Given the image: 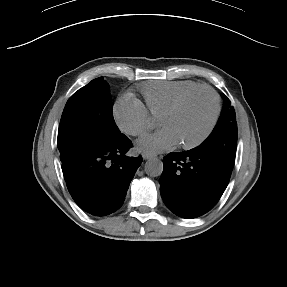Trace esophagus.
<instances>
[{"mask_svg": "<svg viewBox=\"0 0 287 287\" xmlns=\"http://www.w3.org/2000/svg\"><path fill=\"white\" fill-rule=\"evenodd\" d=\"M142 157H143L144 160H147V159H151V158H153V157H155V156L152 155V154L144 153V154L142 155Z\"/></svg>", "mask_w": 287, "mask_h": 287, "instance_id": "34e87169", "label": "esophagus"}]
</instances>
